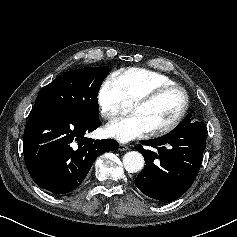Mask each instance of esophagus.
<instances>
[{
  "instance_id": "esophagus-1",
  "label": "esophagus",
  "mask_w": 237,
  "mask_h": 237,
  "mask_svg": "<svg viewBox=\"0 0 237 237\" xmlns=\"http://www.w3.org/2000/svg\"><path fill=\"white\" fill-rule=\"evenodd\" d=\"M128 149H129V146L126 144H119V146H118V150H120V151H126Z\"/></svg>"
}]
</instances>
